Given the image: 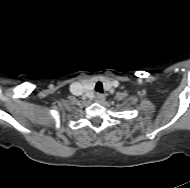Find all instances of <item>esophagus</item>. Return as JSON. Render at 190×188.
Here are the masks:
<instances>
[{"label":"esophagus","mask_w":190,"mask_h":188,"mask_svg":"<svg viewBox=\"0 0 190 188\" xmlns=\"http://www.w3.org/2000/svg\"><path fill=\"white\" fill-rule=\"evenodd\" d=\"M104 100H105V95L104 94L97 93L95 95V101L96 102L102 103V102H104Z\"/></svg>","instance_id":"1"}]
</instances>
